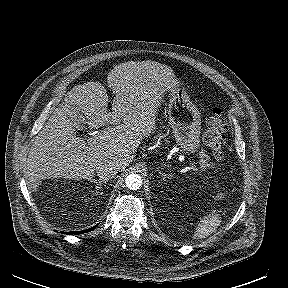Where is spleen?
Here are the masks:
<instances>
[{"mask_svg":"<svg viewBox=\"0 0 288 288\" xmlns=\"http://www.w3.org/2000/svg\"><path fill=\"white\" fill-rule=\"evenodd\" d=\"M221 223L220 216L218 214H210L204 216L198 223L196 230L193 234V239H202L208 237L214 232V230Z\"/></svg>","mask_w":288,"mask_h":288,"instance_id":"1","label":"spleen"}]
</instances>
